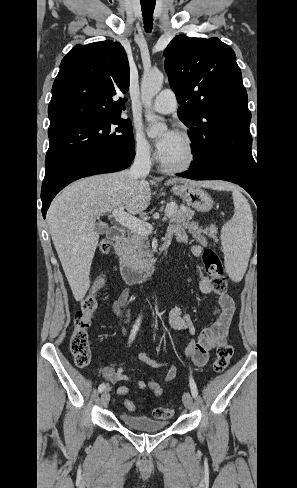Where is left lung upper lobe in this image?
<instances>
[{"mask_svg":"<svg viewBox=\"0 0 297 488\" xmlns=\"http://www.w3.org/2000/svg\"><path fill=\"white\" fill-rule=\"evenodd\" d=\"M165 70L193 142L191 166L228 159L256 168L248 96L233 49L216 37L179 35L165 50Z\"/></svg>","mask_w":297,"mask_h":488,"instance_id":"5c2ea615","label":"left lung upper lobe"}]
</instances>
